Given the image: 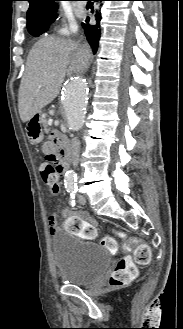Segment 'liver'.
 <instances>
[{
	"mask_svg": "<svg viewBox=\"0 0 183 329\" xmlns=\"http://www.w3.org/2000/svg\"><path fill=\"white\" fill-rule=\"evenodd\" d=\"M83 47L89 49L79 41L53 36L35 43L19 87L18 109L23 122L30 121L57 97L66 73L83 71L77 60L78 50Z\"/></svg>",
	"mask_w": 183,
	"mask_h": 329,
	"instance_id": "6515ba94",
	"label": "liver"
}]
</instances>
